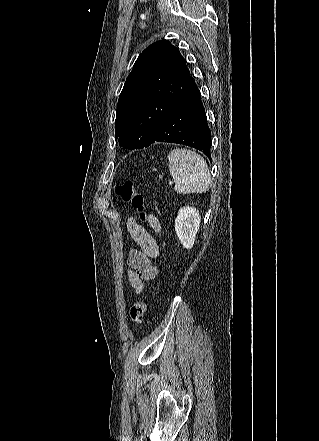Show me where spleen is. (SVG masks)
I'll return each mask as SVG.
<instances>
[{
	"instance_id": "3e777b00",
	"label": "spleen",
	"mask_w": 319,
	"mask_h": 441,
	"mask_svg": "<svg viewBox=\"0 0 319 441\" xmlns=\"http://www.w3.org/2000/svg\"><path fill=\"white\" fill-rule=\"evenodd\" d=\"M169 172L179 194L204 193L211 186V175L204 158L189 149H173L167 156Z\"/></svg>"
}]
</instances>
